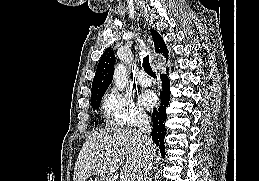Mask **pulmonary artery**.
<instances>
[{"label":"pulmonary artery","mask_w":259,"mask_h":181,"mask_svg":"<svg viewBox=\"0 0 259 181\" xmlns=\"http://www.w3.org/2000/svg\"><path fill=\"white\" fill-rule=\"evenodd\" d=\"M137 81L142 87H148L151 85V80L144 71H140Z\"/></svg>","instance_id":"pulmonary-artery-1"}]
</instances>
